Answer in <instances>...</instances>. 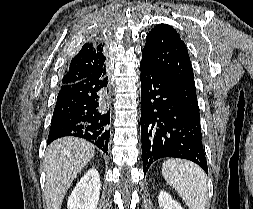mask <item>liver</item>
Segmentation results:
<instances>
[{
  "label": "liver",
  "instance_id": "liver-1",
  "mask_svg": "<svg viewBox=\"0 0 253 209\" xmlns=\"http://www.w3.org/2000/svg\"><path fill=\"white\" fill-rule=\"evenodd\" d=\"M94 153L93 144L76 137H63L48 146L43 162L47 209H61L71 183L93 158Z\"/></svg>",
  "mask_w": 253,
  "mask_h": 209
}]
</instances>
